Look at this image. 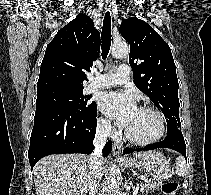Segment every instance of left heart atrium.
<instances>
[{
    "mask_svg": "<svg viewBox=\"0 0 211 195\" xmlns=\"http://www.w3.org/2000/svg\"><path fill=\"white\" fill-rule=\"evenodd\" d=\"M99 107L125 127L138 109L131 94L117 91L103 93L99 99Z\"/></svg>",
    "mask_w": 211,
    "mask_h": 195,
    "instance_id": "39dd6f15",
    "label": "left heart atrium"
}]
</instances>
